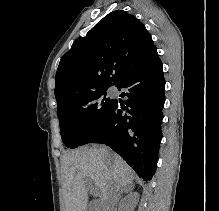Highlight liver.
Segmentation results:
<instances>
[{
    "instance_id": "liver-1",
    "label": "liver",
    "mask_w": 219,
    "mask_h": 211,
    "mask_svg": "<svg viewBox=\"0 0 219 211\" xmlns=\"http://www.w3.org/2000/svg\"><path fill=\"white\" fill-rule=\"evenodd\" d=\"M86 177L93 179L100 199L91 203L97 211H108L113 191L133 187L134 169L108 147L73 149L62 159V187L66 211H88L89 187Z\"/></svg>"
}]
</instances>
